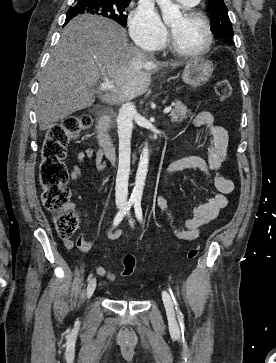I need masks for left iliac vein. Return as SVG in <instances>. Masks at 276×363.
Here are the masks:
<instances>
[{
  "mask_svg": "<svg viewBox=\"0 0 276 363\" xmlns=\"http://www.w3.org/2000/svg\"><path fill=\"white\" fill-rule=\"evenodd\" d=\"M130 223H131V225H133L132 221ZM162 299H163V303H164L169 320L172 323H176L174 303L172 301L170 294L165 290L162 292Z\"/></svg>",
  "mask_w": 276,
  "mask_h": 363,
  "instance_id": "obj_1",
  "label": "left iliac vein"
}]
</instances>
